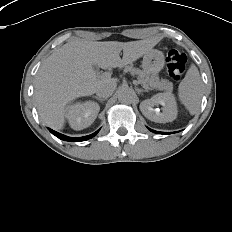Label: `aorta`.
<instances>
[{
    "instance_id": "762f6f07",
    "label": "aorta",
    "mask_w": 232,
    "mask_h": 232,
    "mask_svg": "<svg viewBox=\"0 0 232 232\" xmlns=\"http://www.w3.org/2000/svg\"><path fill=\"white\" fill-rule=\"evenodd\" d=\"M134 91L130 88H123L118 93V100L125 104H131L134 100Z\"/></svg>"
}]
</instances>
